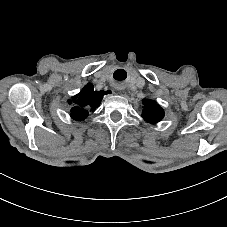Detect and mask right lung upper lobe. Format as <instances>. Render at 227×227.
Returning <instances> with one entry per match:
<instances>
[{
  "instance_id": "cb5924a9",
  "label": "right lung upper lobe",
  "mask_w": 227,
  "mask_h": 227,
  "mask_svg": "<svg viewBox=\"0 0 227 227\" xmlns=\"http://www.w3.org/2000/svg\"><path fill=\"white\" fill-rule=\"evenodd\" d=\"M106 94L107 92L105 91H95L92 84L86 85L82 91L73 98L71 117L75 120H83L88 116V110L97 108L103 96ZM68 102L70 104L72 103L71 100Z\"/></svg>"
}]
</instances>
